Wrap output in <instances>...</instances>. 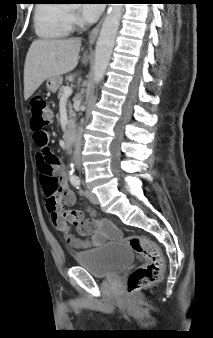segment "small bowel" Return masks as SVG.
Wrapping results in <instances>:
<instances>
[{
    "label": "small bowel",
    "instance_id": "obj_1",
    "mask_svg": "<svg viewBox=\"0 0 213 338\" xmlns=\"http://www.w3.org/2000/svg\"><path fill=\"white\" fill-rule=\"evenodd\" d=\"M46 155L52 159V167L55 169L60 181L61 199L65 205L72 206L75 203L76 195L67 188V173L60 166V160L55 155L46 151ZM41 181L45 187L46 178L41 176ZM77 216V229L80 235L87 241L81 242L80 239L69 234L68 218L62 211H57L53 217V224L56 228L64 233L69 245L77 251L89 249L91 244L103 242L105 240H116L118 237L117 230L113 223L108 219L90 218L83 219V212L80 210H72Z\"/></svg>",
    "mask_w": 213,
    "mask_h": 338
}]
</instances>
